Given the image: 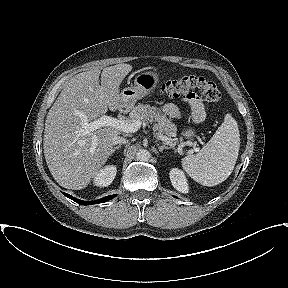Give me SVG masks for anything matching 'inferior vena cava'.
Returning <instances> with one entry per match:
<instances>
[{
  "label": "inferior vena cava",
  "mask_w": 288,
  "mask_h": 288,
  "mask_svg": "<svg viewBox=\"0 0 288 288\" xmlns=\"http://www.w3.org/2000/svg\"><path fill=\"white\" fill-rule=\"evenodd\" d=\"M112 142H113L114 145H117V144L121 145V144H126L128 141L125 138H123V137L115 136L113 138Z\"/></svg>",
  "instance_id": "obj_1"
}]
</instances>
